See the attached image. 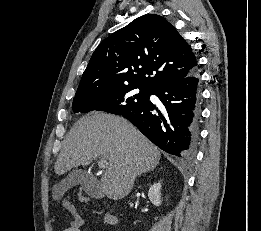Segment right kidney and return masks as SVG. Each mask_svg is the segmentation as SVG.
Instances as JSON below:
<instances>
[{"instance_id": "obj_1", "label": "right kidney", "mask_w": 261, "mask_h": 231, "mask_svg": "<svg viewBox=\"0 0 261 231\" xmlns=\"http://www.w3.org/2000/svg\"><path fill=\"white\" fill-rule=\"evenodd\" d=\"M161 183H155L153 184L148 191V197L149 200L154 204L155 206H160L161 205Z\"/></svg>"}]
</instances>
